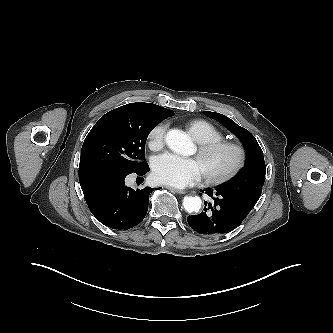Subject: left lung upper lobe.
Returning <instances> with one entry per match:
<instances>
[{"label":"left lung upper lobe","mask_w":333,"mask_h":333,"mask_svg":"<svg viewBox=\"0 0 333 333\" xmlns=\"http://www.w3.org/2000/svg\"><path fill=\"white\" fill-rule=\"evenodd\" d=\"M203 113L216 119L235 134L243 143L247 153L246 168L236 178L219 187L232 193L246 194L259 199L265 181L266 166L257 140L248 130L240 127L230 118L210 111H203Z\"/></svg>","instance_id":"obj_1"}]
</instances>
